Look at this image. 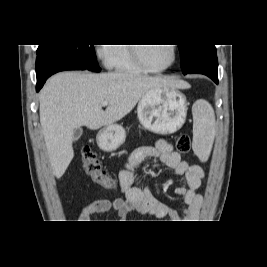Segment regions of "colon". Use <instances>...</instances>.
<instances>
[{
	"label": "colon",
	"instance_id": "obj_1",
	"mask_svg": "<svg viewBox=\"0 0 267 267\" xmlns=\"http://www.w3.org/2000/svg\"><path fill=\"white\" fill-rule=\"evenodd\" d=\"M176 148L181 153H187L191 149V139L187 134H181L176 141ZM81 162L85 173L95 183L105 187L114 188L115 181L108 175V173L102 168L95 153L90 148H84L81 151Z\"/></svg>",
	"mask_w": 267,
	"mask_h": 267
}]
</instances>
